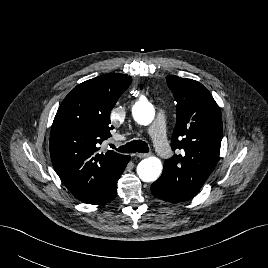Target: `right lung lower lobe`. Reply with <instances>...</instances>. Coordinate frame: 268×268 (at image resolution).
Instances as JSON below:
<instances>
[{
  "mask_svg": "<svg viewBox=\"0 0 268 268\" xmlns=\"http://www.w3.org/2000/svg\"><path fill=\"white\" fill-rule=\"evenodd\" d=\"M129 160H130V156H128L125 159V161L122 164V166L119 168L117 173L112 178V181H111L110 185L105 189V191L102 193V195L99 197V199H97L92 204L100 205V204L108 203V202L114 200V198L116 197V194H117V181L120 178V176L122 175V173H123L126 165L128 164Z\"/></svg>",
  "mask_w": 268,
  "mask_h": 268,
  "instance_id": "obj_1",
  "label": "right lung lower lobe"
}]
</instances>
